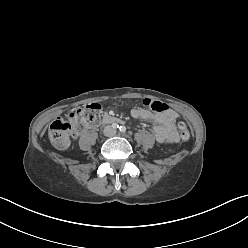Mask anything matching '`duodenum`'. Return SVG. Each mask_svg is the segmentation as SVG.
I'll return each instance as SVG.
<instances>
[{
	"label": "duodenum",
	"mask_w": 248,
	"mask_h": 248,
	"mask_svg": "<svg viewBox=\"0 0 248 248\" xmlns=\"http://www.w3.org/2000/svg\"><path fill=\"white\" fill-rule=\"evenodd\" d=\"M122 122H123L122 119L108 114L104 115L101 120V123L104 124H118Z\"/></svg>",
	"instance_id": "1"
}]
</instances>
